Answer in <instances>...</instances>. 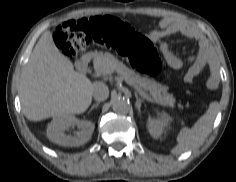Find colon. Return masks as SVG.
<instances>
[{
	"label": "colon",
	"instance_id": "obj_1",
	"mask_svg": "<svg viewBox=\"0 0 236 182\" xmlns=\"http://www.w3.org/2000/svg\"><path fill=\"white\" fill-rule=\"evenodd\" d=\"M54 38L62 52L74 58L91 45L114 48L139 72L156 76L161 62L151 41L120 18L91 17L58 25Z\"/></svg>",
	"mask_w": 236,
	"mask_h": 182
}]
</instances>
